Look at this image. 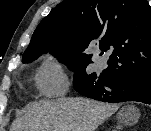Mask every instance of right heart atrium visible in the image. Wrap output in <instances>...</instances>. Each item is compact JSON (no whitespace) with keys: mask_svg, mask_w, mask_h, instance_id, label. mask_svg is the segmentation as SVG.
I'll return each mask as SVG.
<instances>
[{"mask_svg":"<svg viewBox=\"0 0 151 131\" xmlns=\"http://www.w3.org/2000/svg\"><path fill=\"white\" fill-rule=\"evenodd\" d=\"M39 91L46 96L62 95L68 86L65 68L54 55H48L36 75Z\"/></svg>","mask_w":151,"mask_h":131,"instance_id":"d8ad5b80","label":"right heart atrium"}]
</instances>
